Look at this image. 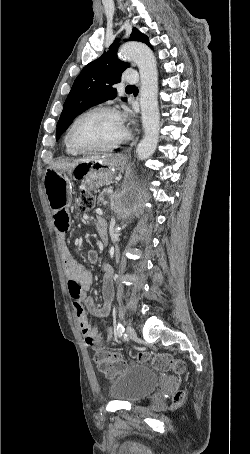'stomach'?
I'll use <instances>...</instances> for the list:
<instances>
[{
  "mask_svg": "<svg viewBox=\"0 0 250 454\" xmlns=\"http://www.w3.org/2000/svg\"><path fill=\"white\" fill-rule=\"evenodd\" d=\"M126 166V159L118 155H110L94 161L80 162L74 166L56 163L46 170L45 176H75L86 189H96L107 185L114 174L117 171H123Z\"/></svg>",
  "mask_w": 250,
  "mask_h": 454,
  "instance_id": "1",
  "label": "stomach"
}]
</instances>
